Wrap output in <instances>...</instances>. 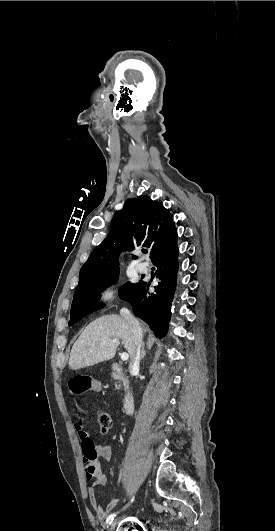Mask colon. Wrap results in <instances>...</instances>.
Listing matches in <instances>:
<instances>
[{"instance_id":"colon-1","label":"colon","mask_w":275,"mask_h":531,"mask_svg":"<svg viewBox=\"0 0 275 531\" xmlns=\"http://www.w3.org/2000/svg\"><path fill=\"white\" fill-rule=\"evenodd\" d=\"M97 421L102 433L108 432L112 427V420L110 415L105 411L97 412Z\"/></svg>"}]
</instances>
